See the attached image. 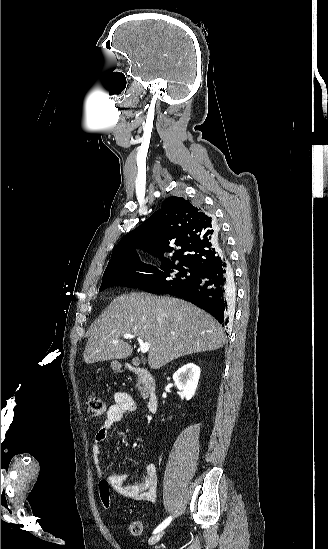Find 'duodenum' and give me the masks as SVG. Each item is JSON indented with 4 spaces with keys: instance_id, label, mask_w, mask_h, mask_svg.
Listing matches in <instances>:
<instances>
[{
    "instance_id": "duodenum-1",
    "label": "duodenum",
    "mask_w": 328,
    "mask_h": 549,
    "mask_svg": "<svg viewBox=\"0 0 328 549\" xmlns=\"http://www.w3.org/2000/svg\"><path fill=\"white\" fill-rule=\"evenodd\" d=\"M129 369L143 381L147 389V408L151 413H155L158 409L159 402L155 392V382L152 374L148 370L137 366H130Z\"/></svg>"
}]
</instances>
